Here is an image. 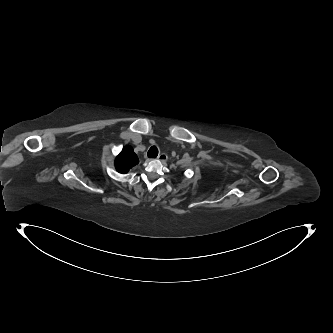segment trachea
<instances>
[{"mask_svg":"<svg viewBox=\"0 0 333 333\" xmlns=\"http://www.w3.org/2000/svg\"><path fill=\"white\" fill-rule=\"evenodd\" d=\"M149 158H156L158 156V149L156 146H152L147 153Z\"/></svg>","mask_w":333,"mask_h":333,"instance_id":"1","label":"trachea"}]
</instances>
